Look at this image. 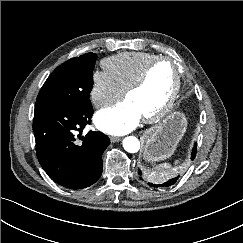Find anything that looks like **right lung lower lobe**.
I'll list each match as a JSON object with an SVG mask.
<instances>
[{
    "instance_id": "98d812e1",
    "label": "right lung lower lobe",
    "mask_w": 243,
    "mask_h": 243,
    "mask_svg": "<svg viewBox=\"0 0 243 243\" xmlns=\"http://www.w3.org/2000/svg\"><path fill=\"white\" fill-rule=\"evenodd\" d=\"M93 109L73 110L48 103L35 105L33 131L38 161L61 186L81 189L94 184L103 170L102 154L110 144L101 132L82 131Z\"/></svg>"
}]
</instances>
